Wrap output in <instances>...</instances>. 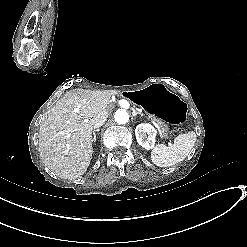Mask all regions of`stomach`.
I'll list each match as a JSON object with an SVG mask.
<instances>
[{
  "mask_svg": "<svg viewBox=\"0 0 247 247\" xmlns=\"http://www.w3.org/2000/svg\"><path fill=\"white\" fill-rule=\"evenodd\" d=\"M124 95L141 106L150 118L172 125H181L186 119V102L162 84L149 85Z\"/></svg>",
  "mask_w": 247,
  "mask_h": 247,
  "instance_id": "stomach-1",
  "label": "stomach"
}]
</instances>
